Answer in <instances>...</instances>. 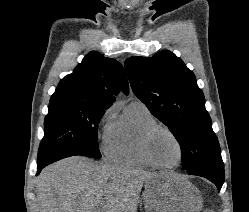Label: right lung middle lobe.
Masks as SVG:
<instances>
[{"label":"right lung middle lobe","mask_w":249,"mask_h":212,"mask_svg":"<svg viewBox=\"0 0 249 212\" xmlns=\"http://www.w3.org/2000/svg\"><path fill=\"white\" fill-rule=\"evenodd\" d=\"M106 109L79 100H50L38 159L62 155L100 158L97 130Z\"/></svg>","instance_id":"right-lung-middle-lobe-1"}]
</instances>
